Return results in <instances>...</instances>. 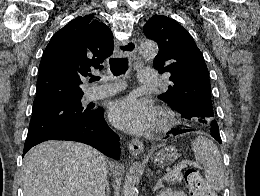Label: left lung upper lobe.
Here are the masks:
<instances>
[{"label": "left lung upper lobe", "instance_id": "5c2ea615", "mask_svg": "<svg viewBox=\"0 0 260 196\" xmlns=\"http://www.w3.org/2000/svg\"><path fill=\"white\" fill-rule=\"evenodd\" d=\"M143 33L159 46L154 67L161 74H171V85L158 97L195 126L210 128L215 116L204 119L189 116L195 108H213L208 69L191 35L175 20L163 15H153Z\"/></svg>", "mask_w": 260, "mask_h": 196}]
</instances>
